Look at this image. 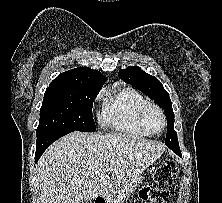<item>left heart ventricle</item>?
<instances>
[{
  "label": "left heart ventricle",
  "mask_w": 222,
  "mask_h": 203,
  "mask_svg": "<svg viewBox=\"0 0 222 203\" xmlns=\"http://www.w3.org/2000/svg\"><path fill=\"white\" fill-rule=\"evenodd\" d=\"M149 126L154 131H160L163 126V121L160 114L156 110H150L147 115Z\"/></svg>",
  "instance_id": "left-heart-ventricle-1"
}]
</instances>
